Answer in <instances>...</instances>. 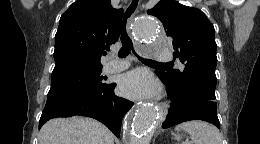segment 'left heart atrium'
<instances>
[{"label": "left heart atrium", "instance_id": "obj_1", "mask_svg": "<svg viewBox=\"0 0 260 144\" xmlns=\"http://www.w3.org/2000/svg\"><path fill=\"white\" fill-rule=\"evenodd\" d=\"M120 93L132 99L152 97L157 91V84L151 75L141 69L124 74L119 82Z\"/></svg>", "mask_w": 260, "mask_h": 144}]
</instances>
